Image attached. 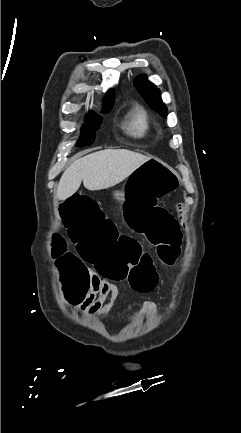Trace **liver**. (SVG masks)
I'll list each match as a JSON object with an SVG mask.
<instances>
[{
    "label": "liver",
    "instance_id": "liver-1",
    "mask_svg": "<svg viewBox=\"0 0 241 433\" xmlns=\"http://www.w3.org/2000/svg\"><path fill=\"white\" fill-rule=\"evenodd\" d=\"M149 159L126 149H107L89 154L67 167L57 186L56 197L59 200L71 197L82 181L90 191L115 186Z\"/></svg>",
    "mask_w": 241,
    "mask_h": 433
}]
</instances>
